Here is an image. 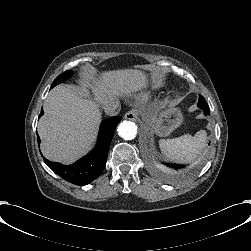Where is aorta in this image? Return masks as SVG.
Here are the masks:
<instances>
[{
  "label": "aorta",
  "mask_w": 251,
  "mask_h": 251,
  "mask_svg": "<svg viewBox=\"0 0 251 251\" xmlns=\"http://www.w3.org/2000/svg\"><path fill=\"white\" fill-rule=\"evenodd\" d=\"M137 127L132 121H123L117 128V133L120 137L131 140L136 136Z\"/></svg>",
  "instance_id": "aorta-1"
}]
</instances>
